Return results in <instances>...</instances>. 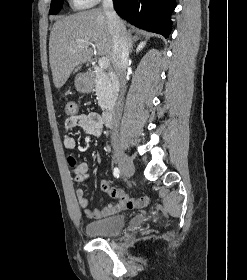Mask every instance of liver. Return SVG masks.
I'll return each instance as SVG.
<instances>
[{
  "label": "liver",
  "mask_w": 247,
  "mask_h": 280,
  "mask_svg": "<svg viewBox=\"0 0 247 280\" xmlns=\"http://www.w3.org/2000/svg\"><path fill=\"white\" fill-rule=\"evenodd\" d=\"M95 49L99 56L113 61V38L103 10L92 9L57 20L49 38L55 87L61 88L70 74L93 56Z\"/></svg>",
  "instance_id": "obj_1"
}]
</instances>
